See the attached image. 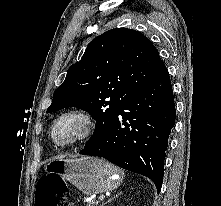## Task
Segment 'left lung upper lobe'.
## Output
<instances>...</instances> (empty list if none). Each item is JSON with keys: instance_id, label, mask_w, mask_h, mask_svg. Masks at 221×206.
Returning a JSON list of instances; mask_svg holds the SVG:
<instances>
[{"instance_id": "1", "label": "left lung upper lobe", "mask_w": 221, "mask_h": 206, "mask_svg": "<svg viewBox=\"0 0 221 206\" xmlns=\"http://www.w3.org/2000/svg\"><path fill=\"white\" fill-rule=\"evenodd\" d=\"M167 68L151 41L140 32L115 28L89 43L82 59L67 71L47 112L79 106L96 120L86 143L100 139L122 106Z\"/></svg>"}]
</instances>
